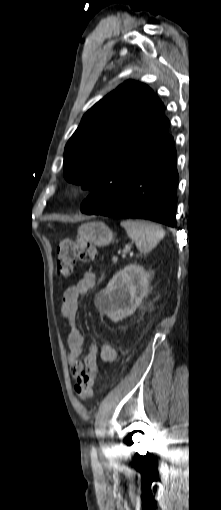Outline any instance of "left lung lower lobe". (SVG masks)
<instances>
[{"label": "left lung lower lobe", "mask_w": 221, "mask_h": 510, "mask_svg": "<svg viewBox=\"0 0 221 510\" xmlns=\"http://www.w3.org/2000/svg\"><path fill=\"white\" fill-rule=\"evenodd\" d=\"M178 172L174 144L148 158L119 194L105 207L96 209L86 200V214L142 218L176 226Z\"/></svg>", "instance_id": "obj_1"}]
</instances>
